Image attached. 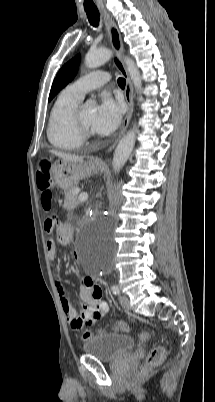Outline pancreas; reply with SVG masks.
I'll return each mask as SVG.
<instances>
[{
  "mask_svg": "<svg viewBox=\"0 0 215 402\" xmlns=\"http://www.w3.org/2000/svg\"><path fill=\"white\" fill-rule=\"evenodd\" d=\"M77 185L65 190L64 208L67 210H73L79 205L77 200V194L75 193Z\"/></svg>",
  "mask_w": 215,
  "mask_h": 402,
  "instance_id": "1",
  "label": "pancreas"
}]
</instances>
